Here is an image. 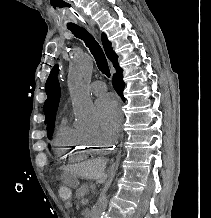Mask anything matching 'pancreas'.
<instances>
[{"label": "pancreas", "mask_w": 211, "mask_h": 218, "mask_svg": "<svg viewBox=\"0 0 211 218\" xmlns=\"http://www.w3.org/2000/svg\"><path fill=\"white\" fill-rule=\"evenodd\" d=\"M88 186H79V190H75V195H88Z\"/></svg>", "instance_id": "1"}]
</instances>
